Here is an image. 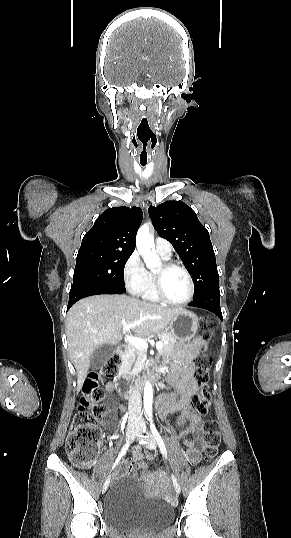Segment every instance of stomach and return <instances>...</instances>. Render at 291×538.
I'll return each mask as SVG.
<instances>
[{
    "label": "stomach",
    "instance_id": "stomach-1",
    "mask_svg": "<svg viewBox=\"0 0 291 538\" xmlns=\"http://www.w3.org/2000/svg\"><path fill=\"white\" fill-rule=\"evenodd\" d=\"M198 328V317L190 311H182L174 316L169 324L170 333L179 342L191 340ZM182 348V347H180Z\"/></svg>",
    "mask_w": 291,
    "mask_h": 538
}]
</instances>
